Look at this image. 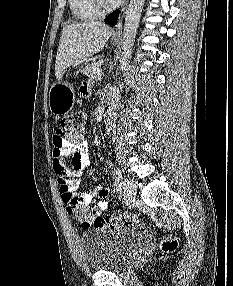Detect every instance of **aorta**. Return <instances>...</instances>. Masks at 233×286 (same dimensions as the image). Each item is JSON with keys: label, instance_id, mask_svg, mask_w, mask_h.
I'll list each match as a JSON object with an SVG mask.
<instances>
[{"label": "aorta", "instance_id": "762f6f07", "mask_svg": "<svg viewBox=\"0 0 233 286\" xmlns=\"http://www.w3.org/2000/svg\"><path fill=\"white\" fill-rule=\"evenodd\" d=\"M145 0H130L126 10L125 23L123 29V46L120 58L121 70H126L133 52V46L140 23L141 14Z\"/></svg>", "mask_w": 233, "mask_h": 286}]
</instances>
